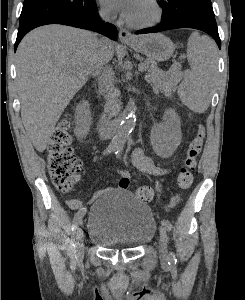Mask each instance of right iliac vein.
<instances>
[{
	"label": "right iliac vein",
	"mask_w": 245,
	"mask_h": 300,
	"mask_svg": "<svg viewBox=\"0 0 245 300\" xmlns=\"http://www.w3.org/2000/svg\"><path fill=\"white\" fill-rule=\"evenodd\" d=\"M82 224V221L80 222ZM83 239H84V233L81 228H78L76 232V256L78 258H81L83 256Z\"/></svg>",
	"instance_id": "right-iliac-vein-1"
}]
</instances>
